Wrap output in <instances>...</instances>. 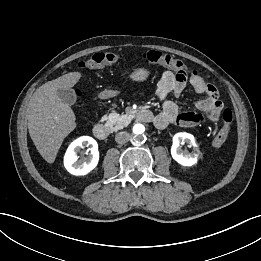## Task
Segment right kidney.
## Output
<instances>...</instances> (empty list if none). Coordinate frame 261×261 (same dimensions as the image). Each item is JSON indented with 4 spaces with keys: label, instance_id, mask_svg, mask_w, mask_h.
Masks as SVG:
<instances>
[{
    "label": "right kidney",
    "instance_id": "ca27d5eb",
    "mask_svg": "<svg viewBox=\"0 0 261 261\" xmlns=\"http://www.w3.org/2000/svg\"><path fill=\"white\" fill-rule=\"evenodd\" d=\"M90 147V156L84 160H78L77 152L80 148ZM99 152L97 142L89 136H82L74 140L68 147L64 156V166L73 175H86L98 164Z\"/></svg>",
    "mask_w": 261,
    "mask_h": 261
}]
</instances>
